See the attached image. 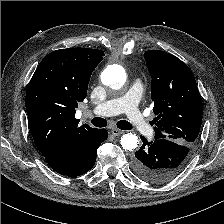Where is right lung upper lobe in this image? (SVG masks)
Wrapping results in <instances>:
<instances>
[{
    "label": "right lung upper lobe",
    "mask_w": 224,
    "mask_h": 224,
    "mask_svg": "<svg viewBox=\"0 0 224 224\" xmlns=\"http://www.w3.org/2000/svg\"><path fill=\"white\" fill-rule=\"evenodd\" d=\"M103 56L97 49L56 50L40 62L30 80L25 102L29 129L51 168L61 167L98 130L78 126L75 109Z\"/></svg>",
    "instance_id": "1"
}]
</instances>
